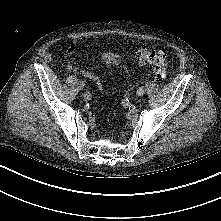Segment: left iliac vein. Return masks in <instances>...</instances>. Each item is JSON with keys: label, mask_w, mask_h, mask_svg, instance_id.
Instances as JSON below:
<instances>
[{"label": "left iliac vein", "mask_w": 221, "mask_h": 221, "mask_svg": "<svg viewBox=\"0 0 221 221\" xmlns=\"http://www.w3.org/2000/svg\"><path fill=\"white\" fill-rule=\"evenodd\" d=\"M145 94V88L144 87H140L138 90H137V95L138 96H143Z\"/></svg>", "instance_id": "1"}]
</instances>
